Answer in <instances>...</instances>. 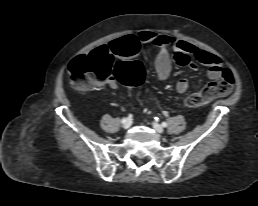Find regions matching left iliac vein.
Here are the masks:
<instances>
[{"instance_id": "left-iliac-vein-1", "label": "left iliac vein", "mask_w": 258, "mask_h": 206, "mask_svg": "<svg viewBox=\"0 0 258 206\" xmlns=\"http://www.w3.org/2000/svg\"><path fill=\"white\" fill-rule=\"evenodd\" d=\"M152 125L155 131H157L158 133H163L164 129L160 124L154 122Z\"/></svg>"}]
</instances>
